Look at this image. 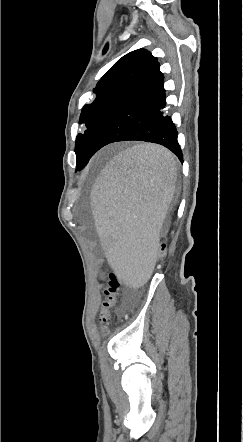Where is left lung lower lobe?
<instances>
[{
	"label": "left lung lower lobe",
	"instance_id": "1",
	"mask_svg": "<svg viewBox=\"0 0 243 442\" xmlns=\"http://www.w3.org/2000/svg\"><path fill=\"white\" fill-rule=\"evenodd\" d=\"M159 66L124 96L103 120L85 152V165L103 146L129 140L161 144L183 162L178 132L171 118L163 112L166 97Z\"/></svg>",
	"mask_w": 243,
	"mask_h": 442
}]
</instances>
